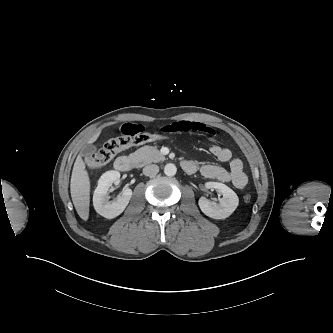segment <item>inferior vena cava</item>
I'll use <instances>...</instances> for the list:
<instances>
[{"label": "inferior vena cava", "instance_id": "obj_1", "mask_svg": "<svg viewBox=\"0 0 333 333\" xmlns=\"http://www.w3.org/2000/svg\"><path fill=\"white\" fill-rule=\"evenodd\" d=\"M159 172V167L156 164L147 165L143 168V174L145 176H153Z\"/></svg>", "mask_w": 333, "mask_h": 333}]
</instances>
